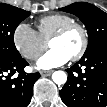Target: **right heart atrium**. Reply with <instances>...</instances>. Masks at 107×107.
Returning a JSON list of instances; mask_svg holds the SVG:
<instances>
[{
    "label": "right heart atrium",
    "mask_w": 107,
    "mask_h": 107,
    "mask_svg": "<svg viewBox=\"0 0 107 107\" xmlns=\"http://www.w3.org/2000/svg\"><path fill=\"white\" fill-rule=\"evenodd\" d=\"M13 43L20 55L27 60H36L46 48V43L37 31L25 22L14 29Z\"/></svg>",
    "instance_id": "obj_1"
}]
</instances>
